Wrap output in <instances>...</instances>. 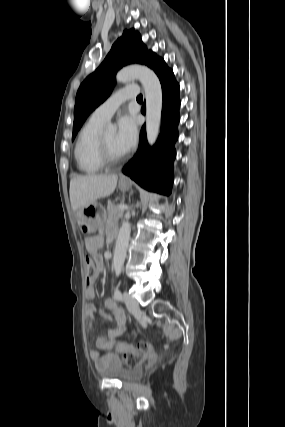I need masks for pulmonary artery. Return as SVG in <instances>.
Masks as SVG:
<instances>
[{
	"mask_svg": "<svg viewBox=\"0 0 285 427\" xmlns=\"http://www.w3.org/2000/svg\"><path fill=\"white\" fill-rule=\"evenodd\" d=\"M138 93L139 89L136 85L125 86L99 105L91 117L102 122L108 121L123 102L137 97Z\"/></svg>",
	"mask_w": 285,
	"mask_h": 427,
	"instance_id": "1",
	"label": "pulmonary artery"
}]
</instances>
